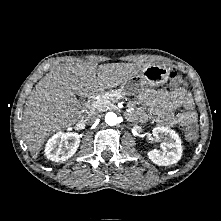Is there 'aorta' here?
<instances>
[{
	"instance_id": "obj_1",
	"label": "aorta",
	"mask_w": 221,
	"mask_h": 221,
	"mask_svg": "<svg viewBox=\"0 0 221 221\" xmlns=\"http://www.w3.org/2000/svg\"><path fill=\"white\" fill-rule=\"evenodd\" d=\"M105 122L109 125V126H115L119 123V117L113 113V112H108L105 115Z\"/></svg>"
}]
</instances>
